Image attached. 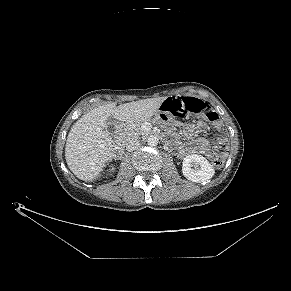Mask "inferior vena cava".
Returning <instances> with one entry per match:
<instances>
[{
  "mask_svg": "<svg viewBox=\"0 0 291 291\" xmlns=\"http://www.w3.org/2000/svg\"><path fill=\"white\" fill-rule=\"evenodd\" d=\"M140 146V142L137 138H130L126 141V149L128 151H133L135 149H137Z\"/></svg>",
  "mask_w": 291,
  "mask_h": 291,
  "instance_id": "inferior-vena-cava-1",
  "label": "inferior vena cava"
}]
</instances>
